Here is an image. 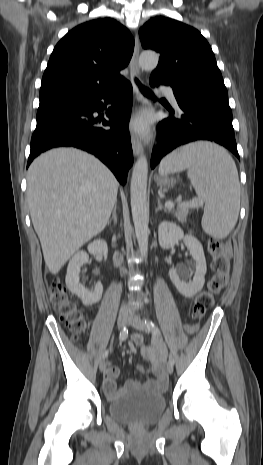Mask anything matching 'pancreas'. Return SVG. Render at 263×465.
<instances>
[{
    "mask_svg": "<svg viewBox=\"0 0 263 465\" xmlns=\"http://www.w3.org/2000/svg\"><path fill=\"white\" fill-rule=\"evenodd\" d=\"M171 212L174 214V216L178 219L179 222L184 223L187 220L189 207L180 205L176 209H173Z\"/></svg>",
    "mask_w": 263,
    "mask_h": 465,
    "instance_id": "1",
    "label": "pancreas"
}]
</instances>
